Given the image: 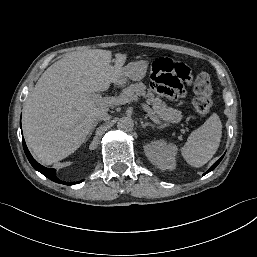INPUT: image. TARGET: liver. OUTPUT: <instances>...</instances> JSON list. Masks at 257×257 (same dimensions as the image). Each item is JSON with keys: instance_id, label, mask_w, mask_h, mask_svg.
I'll use <instances>...</instances> for the list:
<instances>
[{"instance_id": "liver-1", "label": "liver", "mask_w": 257, "mask_h": 257, "mask_svg": "<svg viewBox=\"0 0 257 257\" xmlns=\"http://www.w3.org/2000/svg\"><path fill=\"white\" fill-rule=\"evenodd\" d=\"M90 49L73 52L41 75L24 105L23 131L37 160L53 164L83 144L100 112L108 106L91 95L118 83L127 54Z\"/></svg>"}]
</instances>
